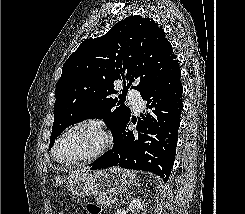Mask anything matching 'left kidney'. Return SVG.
<instances>
[{
    "label": "left kidney",
    "instance_id": "obj_1",
    "mask_svg": "<svg viewBox=\"0 0 245 214\" xmlns=\"http://www.w3.org/2000/svg\"><path fill=\"white\" fill-rule=\"evenodd\" d=\"M129 211L132 212V214H145V210L143 209V204L140 199H133L128 207Z\"/></svg>",
    "mask_w": 245,
    "mask_h": 214
}]
</instances>
